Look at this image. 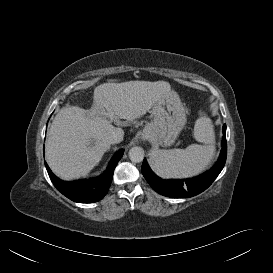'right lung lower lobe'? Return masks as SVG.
<instances>
[{
  "mask_svg": "<svg viewBox=\"0 0 273 273\" xmlns=\"http://www.w3.org/2000/svg\"><path fill=\"white\" fill-rule=\"evenodd\" d=\"M123 153L124 150L116 152L110 160L106 171L97 178L66 182L57 178L46 162L45 166L52 183L64 196L74 202L92 203L101 200L107 194L113 178L114 169L123 156Z\"/></svg>",
  "mask_w": 273,
  "mask_h": 273,
  "instance_id": "obj_1",
  "label": "right lung lower lobe"
}]
</instances>
